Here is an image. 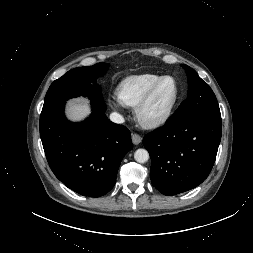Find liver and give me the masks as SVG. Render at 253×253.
Listing matches in <instances>:
<instances>
[{"label": "liver", "mask_w": 253, "mask_h": 253, "mask_svg": "<svg viewBox=\"0 0 253 253\" xmlns=\"http://www.w3.org/2000/svg\"><path fill=\"white\" fill-rule=\"evenodd\" d=\"M90 113L89 105L87 101L73 100L69 103L67 109V117L71 121H81Z\"/></svg>", "instance_id": "liver-1"}]
</instances>
